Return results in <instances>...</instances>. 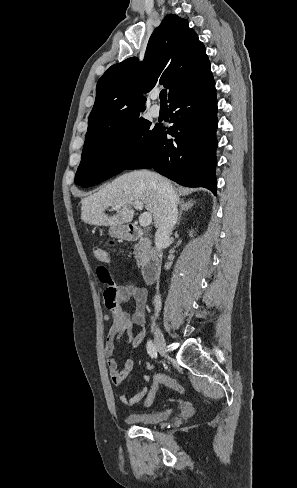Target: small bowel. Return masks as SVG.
Returning a JSON list of instances; mask_svg holds the SVG:
<instances>
[{"label": "small bowel", "instance_id": "obj_1", "mask_svg": "<svg viewBox=\"0 0 297 488\" xmlns=\"http://www.w3.org/2000/svg\"><path fill=\"white\" fill-rule=\"evenodd\" d=\"M104 263L110 262V257L106 255L102 259ZM134 303V311L132 314L125 312H118L116 319V324L119 331L124 333L128 340L130 341L131 351L129 356L126 358L122 367H119L118 362L114 356V348L116 342L115 333H110L105 349L104 355L107 362V367L112 382L119 388L125 382V380L131 374L134 367V351L140 346L145 337V323H146V307H147V292L146 290L138 285L132 283H125L117 285V304L122 303ZM138 327L139 331L135 334V328ZM150 369V365L147 366ZM143 380L149 382L152 380L151 376L146 373L143 375ZM153 382V380H152ZM151 389L150 387H142L134 396L128 397L125 394H119V400L122 404L126 406H134L146 397L147 391Z\"/></svg>", "mask_w": 297, "mask_h": 488}]
</instances>
